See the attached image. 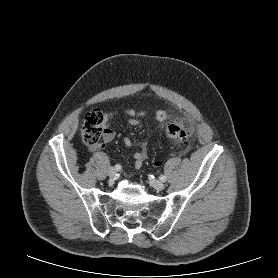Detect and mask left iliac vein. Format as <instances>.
<instances>
[{"label": "left iliac vein", "instance_id": "obj_1", "mask_svg": "<svg viewBox=\"0 0 278 278\" xmlns=\"http://www.w3.org/2000/svg\"><path fill=\"white\" fill-rule=\"evenodd\" d=\"M151 185L156 189V190H162L164 189L165 185L162 181L160 180H152Z\"/></svg>", "mask_w": 278, "mask_h": 278}]
</instances>
